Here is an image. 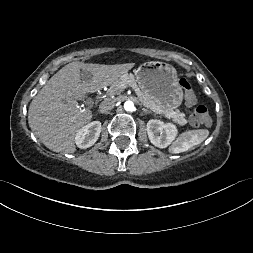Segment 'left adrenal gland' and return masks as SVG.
Wrapping results in <instances>:
<instances>
[{"instance_id": "1", "label": "left adrenal gland", "mask_w": 253, "mask_h": 253, "mask_svg": "<svg viewBox=\"0 0 253 253\" xmlns=\"http://www.w3.org/2000/svg\"><path fill=\"white\" fill-rule=\"evenodd\" d=\"M142 110H143V112H145V113H147V114H148V113H151L150 111H148V110L145 109V108H143Z\"/></svg>"}]
</instances>
